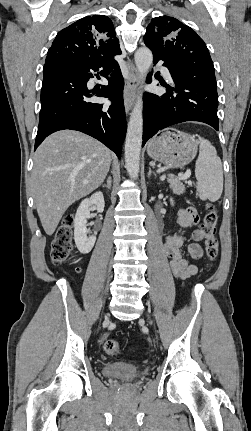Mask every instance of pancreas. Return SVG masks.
Returning a JSON list of instances; mask_svg holds the SVG:
<instances>
[{
	"label": "pancreas",
	"instance_id": "1",
	"mask_svg": "<svg viewBox=\"0 0 251 431\" xmlns=\"http://www.w3.org/2000/svg\"><path fill=\"white\" fill-rule=\"evenodd\" d=\"M168 182L170 183V188L174 194L181 195L185 192V186L180 180L169 178Z\"/></svg>",
	"mask_w": 251,
	"mask_h": 431
}]
</instances>
